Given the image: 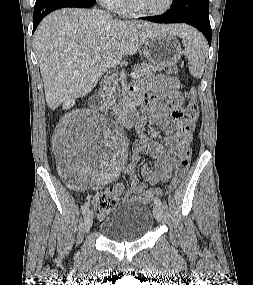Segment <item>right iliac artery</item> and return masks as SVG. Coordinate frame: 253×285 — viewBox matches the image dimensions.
Wrapping results in <instances>:
<instances>
[{
	"label": "right iliac artery",
	"mask_w": 253,
	"mask_h": 285,
	"mask_svg": "<svg viewBox=\"0 0 253 285\" xmlns=\"http://www.w3.org/2000/svg\"><path fill=\"white\" fill-rule=\"evenodd\" d=\"M89 206H90V202H86V203L82 206V212H83V214H85V213L88 211Z\"/></svg>",
	"instance_id": "82829eb1"
}]
</instances>
